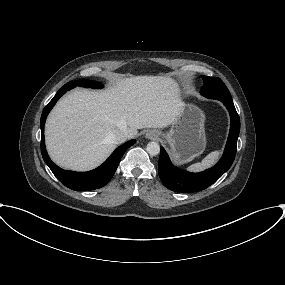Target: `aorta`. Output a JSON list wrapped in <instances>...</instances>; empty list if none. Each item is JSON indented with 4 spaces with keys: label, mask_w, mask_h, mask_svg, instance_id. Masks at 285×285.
Segmentation results:
<instances>
[{
    "label": "aorta",
    "mask_w": 285,
    "mask_h": 285,
    "mask_svg": "<svg viewBox=\"0 0 285 285\" xmlns=\"http://www.w3.org/2000/svg\"><path fill=\"white\" fill-rule=\"evenodd\" d=\"M147 152L152 155H158L160 153V146L157 142H149L146 147Z\"/></svg>",
    "instance_id": "762f6f07"
}]
</instances>
